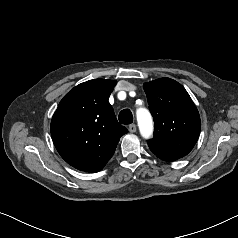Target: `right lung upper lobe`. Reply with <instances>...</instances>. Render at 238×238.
I'll return each mask as SVG.
<instances>
[{"label": "right lung upper lobe", "instance_id": "1", "mask_svg": "<svg viewBox=\"0 0 238 238\" xmlns=\"http://www.w3.org/2000/svg\"><path fill=\"white\" fill-rule=\"evenodd\" d=\"M115 80L81 83L60 101L51 121V136L61 157L85 172L100 171L128 130L118 123L108 99Z\"/></svg>", "mask_w": 238, "mask_h": 238}]
</instances>
